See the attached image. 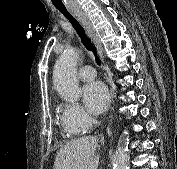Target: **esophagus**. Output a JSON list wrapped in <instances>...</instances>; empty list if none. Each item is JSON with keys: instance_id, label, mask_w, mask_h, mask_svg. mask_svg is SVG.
Returning <instances> with one entry per match:
<instances>
[{"instance_id": "1", "label": "esophagus", "mask_w": 177, "mask_h": 169, "mask_svg": "<svg viewBox=\"0 0 177 169\" xmlns=\"http://www.w3.org/2000/svg\"><path fill=\"white\" fill-rule=\"evenodd\" d=\"M68 10L82 24L84 29L90 35V37L92 38V40L94 41V43L97 46L100 59H101L102 63H104L103 49H102V45H101L99 36L96 33V30L93 27L92 22L90 21V19L88 18V16L84 12V10L79 5L68 6Z\"/></svg>"}]
</instances>
